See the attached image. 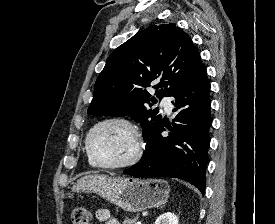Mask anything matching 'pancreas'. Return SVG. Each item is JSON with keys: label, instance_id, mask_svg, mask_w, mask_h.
Here are the masks:
<instances>
[{"label": "pancreas", "instance_id": "cf45deb5", "mask_svg": "<svg viewBox=\"0 0 275 224\" xmlns=\"http://www.w3.org/2000/svg\"><path fill=\"white\" fill-rule=\"evenodd\" d=\"M138 220V216L132 217V218H128L126 217L122 224H136V221Z\"/></svg>", "mask_w": 275, "mask_h": 224}]
</instances>
